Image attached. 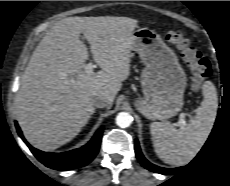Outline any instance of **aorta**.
Wrapping results in <instances>:
<instances>
[{"label":"aorta","mask_w":230,"mask_h":186,"mask_svg":"<svg viewBox=\"0 0 230 186\" xmlns=\"http://www.w3.org/2000/svg\"><path fill=\"white\" fill-rule=\"evenodd\" d=\"M133 117L127 112H120L116 116V124L121 128H127L131 125Z\"/></svg>","instance_id":"aorta-1"}]
</instances>
